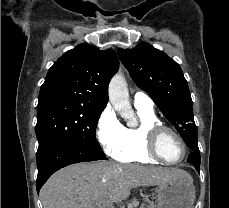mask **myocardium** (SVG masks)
Returning a JSON list of instances; mask_svg holds the SVG:
<instances>
[{
	"label": "myocardium",
	"instance_id": "myocardium-1",
	"mask_svg": "<svg viewBox=\"0 0 229 208\" xmlns=\"http://www.w3.org/2000/svg\"><path fill=\"white\" fill-rule=\"evenodd\" d=\"M166 131H170L172 133L171 137L174 139L175 143H178V147H185V154L180 160H164V157H161V152H158V139H161L163 133ZM147 136L150 143L147 144L148 148L146 149V152L151 153V158H159L164 163L176 165L183 163L188 157L189 145L181 133L175 128L161 123L155 124L147 129Z\"/></svg>",
	"mask_w": 229,
	"mask_h": 208
}]
</instances>
